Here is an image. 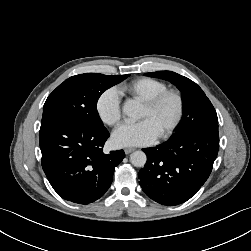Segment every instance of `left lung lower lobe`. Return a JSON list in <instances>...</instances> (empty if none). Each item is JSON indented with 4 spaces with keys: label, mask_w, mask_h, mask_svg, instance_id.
<instances>
[{
    "label": "left lung lower lobe",
    "mask_w": 251,
    "mask_h": 251,
    "mask_svg": "<svg viewBox=\"0 0 251 251\" xmlns=\"http://www.w3.org/2000/svg\"><path fill=\"white\" fill-rule=\"evenodd\" d=\"M218 148V130L207 129L145 148L147 162L139 171V184L147 196L162 205L182 204L208 179Z\"/></svg>",
    "instance_id": "obj_1"
}]
</instances>
